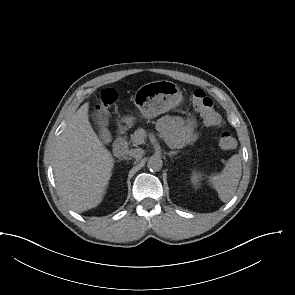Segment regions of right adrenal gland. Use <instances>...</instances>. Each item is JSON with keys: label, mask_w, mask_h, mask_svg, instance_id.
I'll use <instances>...</instances> for the list:
<instances>
[{"label": "right adrenal gland", "mask_w": 295, "mask_h": 295, "mask_svg": "<svg viewBox=\"0 0 295 295\" xmlns=\"http://www.w3.org/2000/svg\"><path fill=\"white\" fill-rule=\"evenodd\" d=\"M121 160H129V158L128 157H123V158L120 159V161Z\"/></svg>", "instance_id": "obj_1"}]
</instances>
